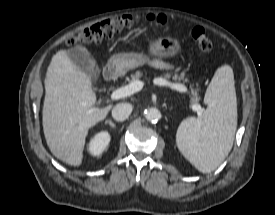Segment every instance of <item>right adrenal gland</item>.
Wrapping results in <instances>:
<instances>
[{"label":"right adrenal gland","instance_id":"right-adrenal-gland-1","mask_svg":"<svg viewBox=\"0 0 275 215\" xmlns=\"http://www.w3.org/2000/svg\"><path fill=\"white\" fill-rule=\"evenodd\" d=\"M105 124H109L110 127H112L113 129L116 128L115 124H114L111 120H106V121H105Z\"/></svg>","mask_w":275,"mask_h":215}]
</instances>
